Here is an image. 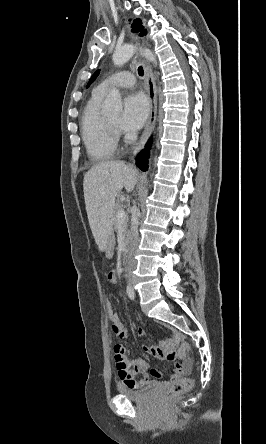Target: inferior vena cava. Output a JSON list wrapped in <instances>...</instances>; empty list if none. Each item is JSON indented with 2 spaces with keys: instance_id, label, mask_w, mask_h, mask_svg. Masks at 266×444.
I'll list each match as a JSON object with an SVG mask.
<instances>
[{
  "instance_id": "obj_1",
  "label": "inferior vena cava",
  "mask_w": 266,
  "mask_h": 444,
  "mask_svg": "<svg viewBox=\"0 0 266 444\" xmlns=\"http://www.w3.org/2000/svg\"><path fill=\"white\" fill-rule=\"evenodd\" d=\"M138 245V215L137 213L132 214L131 227L129 232V244H128V259H127V270L132 271L135 268V260L133 258V251Z\"/></svg>"
}]
</instances>
